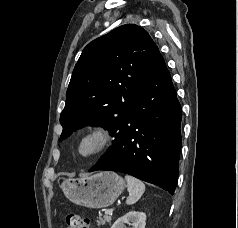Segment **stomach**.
Listing matches in <instances>:
<instances>
[{
    "mask_svg": "<svg viewBox=\"0 0 238 228\" xmlns=\"http://www.w3.org/2000/svg\"><path fill=\"white\" fill-rule=\"evenodd\" d=\"M125 186L124 179L117 173L103 171L88 177L65 179L61 189L77 205L104 208L114 203Z\"/></svg>",
    "mask_w": 238,
    "mask_h": 228,
    "instance_id": "0dacf381",
    "label": "stomach"
}]
</instances>
